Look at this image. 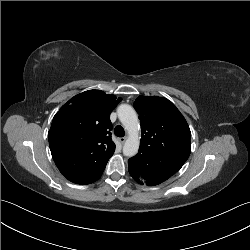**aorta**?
<instances>
[{"label": "aorta", "instance_id": "762f6f07", "mask_svg": "<svg viewBox=\"0 0 250 250\" xmlns=\"http://www.w3.org/2000/svg\"><path fill=\"white\" fill-rule=\"evenodd\" d=\"M118 118L128 132V138L123 146V154L132 157L139 149V120L136 111L128 104H122L117 109Z\"/></svg>", "mask_w": 250, "mask_h": 250}]
</instances>
